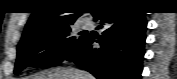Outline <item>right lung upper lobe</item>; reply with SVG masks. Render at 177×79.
<instances>
[{"mask_svg": "<svg viewBox=\"0 0 177 79\" xmlns=\"http://www.w3.org/2000/svg\"><path fill=\"white\" fill-rule=\"evenodd\" d=\"M108 5L92 7V15ZM73 0H41L35 3L32 15L25 26L23 37L38 30L74 23L81 15L79 12L67 13L75 10Z\"/></svg>", "mask_w": 177, "mask_h": 79, "instance_id": "1", "label": "right lung upper lobe"}]
</instances>
